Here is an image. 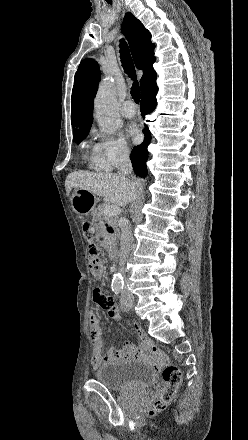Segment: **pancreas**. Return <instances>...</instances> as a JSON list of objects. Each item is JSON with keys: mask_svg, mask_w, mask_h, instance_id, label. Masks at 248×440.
Masks as SVG:
<instances>
[{"mask_svg": "<svg viewBox=\"0 0 248 440\" xmlns=\"http://www.w3.org/2000/svg\"><path fill=\"white\" fill-rule=\"evenodd\" d=\"M106 206L107 205H102L101 207H99L98 210L94 212V216L96 217L97 220L109 222L115 226L117 222L116 218L114 216H109L104 213V209Z\"/></svg>", "mask_w": 248, "mask_h": 440, "instance_id": "1", "label": "pancreas"}]
</instances>
